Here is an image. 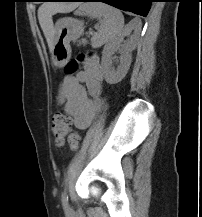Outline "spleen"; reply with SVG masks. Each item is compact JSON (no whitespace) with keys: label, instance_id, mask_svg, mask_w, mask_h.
<instances>
[{"label":"spleen","instance_id":"spleen-1","mask_svg":"<svg viewBox=\"0 0 202 217\" xmlns=\"http://www.w3.org/2000/svg\"><path fill=\"white\" fill-rule=\"evenodd\" d=\"M75 14L100 19L98 32L91 39L93 47H100L110 42L122 32L124 27V17L121 11L104 3H84Z\"/></svg>","mask_w":202,"mask_h":217}]
</instances>
